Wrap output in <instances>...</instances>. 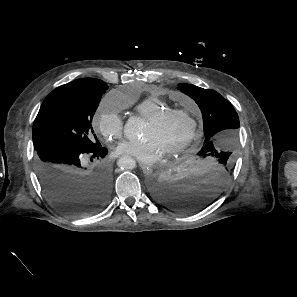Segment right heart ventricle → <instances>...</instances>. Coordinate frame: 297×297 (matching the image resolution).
<instances>
[{
    "label": "right heart ventricle",
    "instance_id": "obj_1",
    "mask_svg": "<svg viewBox=\"0 0 297 297\" xmlns=\"http://www.w3.org/2000/svg\"><path fill=\"white\" fill-rule=\"evenodd\" d=\"M168 108V104L160 97H147L136 105V111L146 120Z\"/></svg>",
    "mask_w": 297,
    "mask_h": 297
}]
</instances>
